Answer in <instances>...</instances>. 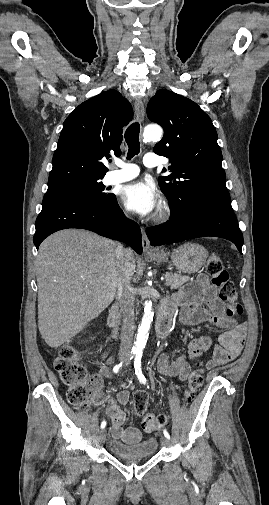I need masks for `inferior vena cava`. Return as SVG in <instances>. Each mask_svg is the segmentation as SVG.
I'll list each match as a JSON object with an SVG mask.
<instances>
[{"label": "inferior vena cava", "instance_id": "1", "mask_svg": "<svg viewBox=\"0 0 269 505\" xmlns=\"http://www.w3.org/2000/svg\"><path fill=\"white\" fill-rule=\"evenodd\" d=\"M116 262L119 267V277L117 281L118 294L120 296L121 311L123 314V325L121 330V344L120 348L122 351L129 352L132 347L133 335H134V293L131 287L130 281L124 277L123 270L125 266L126 259V249L122 244H118L116 247Z\"/></svg>", "mask_w": 269, "mask_h": 505}]
</instances>
